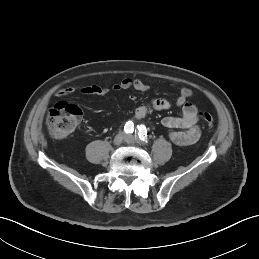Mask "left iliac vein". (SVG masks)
Returning <instances> with one entry per match:
<instances>
[{
    "label": "left iliac vein",
    "instance_id": "4c4485c4",
    "mask_svg": "<svg viewBox=\"0 0 259 259\" xmlns=\"http://www.w3.org/2000/svg\"><path fill=\"white\" fill-rule=\"evenodd\" d=\"M125 141H126V143H128L130 145H134L136 143V137H134L131 134H128L125 136Z\"/></svg>",
    "mask_w": 259,
    "mask_h": 259
}]
</instances>
